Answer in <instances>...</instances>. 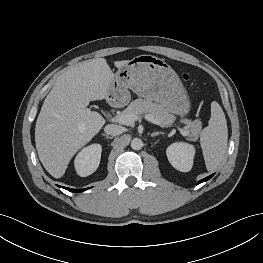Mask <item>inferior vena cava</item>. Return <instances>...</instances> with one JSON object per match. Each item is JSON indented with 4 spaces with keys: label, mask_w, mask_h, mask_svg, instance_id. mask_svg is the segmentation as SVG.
Masks as SVG:
<instances>
[{
    "label": "inferior vena cava",
    "mask_w": 263,
    "mask_h": 263,
    "mask_svg": "<svg viewBox=\"0 0 263 263\" xmlns=\"http://www.w3.org/2000/svg\"><path fill=\"white\" fill-rule=\"evenodd\" d=\"M104 131L108 135L116 136L122 134L125 131V128L116 124H109L105 126Z\"/></svg>",
    "instance_id": "inferior-vena-cava-1"
}]
</instances>
